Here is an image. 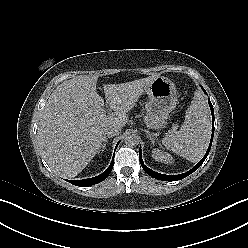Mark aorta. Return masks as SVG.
I'll return each mask as SVG.
<instances>
[{"label":"aorta","instance_id":"762f6f07","mask_svg":"<svg viewBox=\"0 0 248 248\" xmlns=\"http://www.w3.org/2000/svg\"><path fill=\"white\" fill-rule=\"evenodd\" d=\"M124 141L128 146H135L139 144L140 137L135 132H128L125 135Z\"/></svg>","mask_w":248,"mask_h":248}]
</instances>
